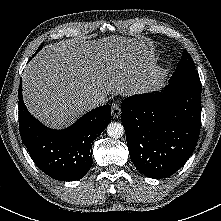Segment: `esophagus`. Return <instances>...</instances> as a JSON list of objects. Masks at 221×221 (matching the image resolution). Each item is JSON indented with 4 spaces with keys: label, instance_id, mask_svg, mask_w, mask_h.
<instances>
[{
    "label": "esophagus",
    "instance_id": "1",
    "mask_svg": "<svg viewBox=\"0 0 221 221\" xmlns=\"http://www.w3.org/2000/svg\"><path fill=\"white\" fill-rule=\"evenodd\" d=\"M111 113L114 118H118L121 115V108L118 102H113L111 104Z\"/></svg>",
    "mask_w": 221,
    "mask_h": 221
}]
</instances>
